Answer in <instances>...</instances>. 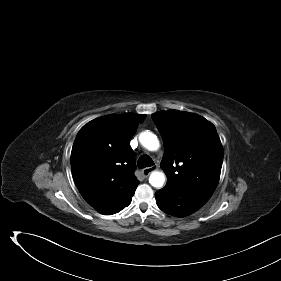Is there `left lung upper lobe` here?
Masks as SVG:
<instances>
[{
	"instance_id": "left-lung-upper-lobe-1",
	"label": "left lung upper lobe",
	"mask_w": 281,
	"mask_h": 281,
	"mask_svg": "<svg viewBox=\"0 0 281 281\" xmlns=\"http://www.w3.org/2000/svg\"><path fill=\"white\" fill-rule=\"evenodd\" d=\"M164 142L161 168L168 186L192 189L211 197L219 182L223 147L215 126L184 111L152 114Z\"/></svg>"
}]
</instances>
